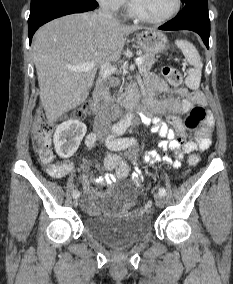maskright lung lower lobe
<instances>
[{"instance_id": "98d812e1", "label": "right lung lower lobe", "mask_w": 233, "mask_h": 284, "mask_svg": "<svg viewBox=\"0 0 233 284\" xmlns=\"http://www.w3.org/2000/svg\"><path fill=\"white\" fill-rule=\"evenodd\" d=\"M97 6L98 3L95 0H87L52 2L32 8L28 19V34L30 42L36 30L46 22L72 13L91 11Z\"/></svg>"}]
</instances>
